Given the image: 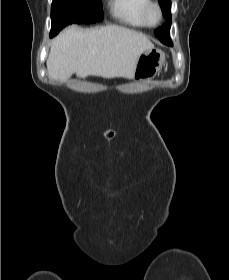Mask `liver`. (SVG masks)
Instances as JSON below:
<instances>
[{
  "mask_svg": "<svg viewBox=\"0 0 229 280\" xmlns=\"http://www.w3.org/2000/svg\"><path fill=\"white\" fill-rule=\"evenodd\" d=\"M154 48L137 31L120 26L79 29L70 26L55 37L47 59L50 79L66 81L72 74L80 78H133L139 56Z\"/></svg>",
  "mask_w": 229,
  "mask_h": 280,
  "instance_id": "6515ba94",
  "label": "liver"
}]
</instances>
